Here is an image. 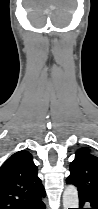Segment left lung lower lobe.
Listing matches in <instances>:
<instances>
[{
    "label": "left lung lower lobe",
    "instance_id": "1",
    "mask_svg": "<svg viewBox=\"0 0 98 209\" xmlns=\"http://www.w3.org/2000/svg\"><path fill=\"white\" fill-rule=\"evenodd\" d=\"M86 202H89L91 204V208L89 209H98V203L82 196H79V209H85L83 208V206Z\"/></svg>",
    "mask_w": 98,
    "mask_h": 209
}]
</instances>
